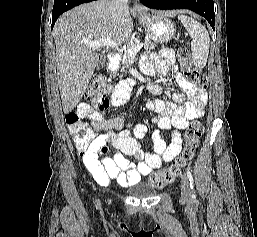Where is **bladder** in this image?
Returning a JSON list of instances; mask_svg holds the SVG:
<instances>
[{
    "instance_id": "bladder-1",
    "label": "bladder",
    "mask_w": 257,
    "mask_h": 237,
    "mask_svg": "<svg viewBox=\"0 0 257 237\" xmlns=\"http://www.w3.org/2000/svg\"><path fill=\"white\" fill-rule=\"evenodd\" d=\"M130 189L131 194L138 198H151L157 194V188L145 183H136Z\"/></svg>"
}]
</instances>
